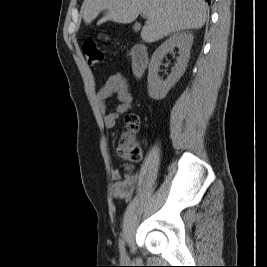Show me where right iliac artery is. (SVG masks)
Returning a JSON list of instances; mask_svg holds the SVG:
<instances>
[{"label":"right iliac artery","instance_id":"obj_1","mask_svg":"<svg viewBox=\"0 0 267 267\" xmlns=\"http://www.w3.org/2000/svg\"><path fill=\"white\" fill-rule=\"evenodd\" d=\"M125 243H124V240L121 239L120 242H119V249H120V252H124L125 251Z\"/></svg>","mask_w":267,"mask_h":267}]
</instances>
